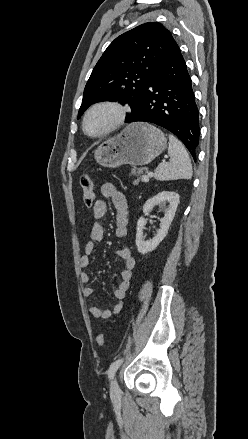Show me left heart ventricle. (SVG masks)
<instances>
[{"mask_svg": "<svg viewBox=\"0 0 248 439\" xmlns=\"http://www.w3.org/2000/svg\"><path fill=\"white\" fill-rule=\"evenodd\" d=\"M115 118V113L110 108H100L93 112L87 120V131L91 134L101 132L109 126Z\"/></svg>", "mask_w": 248, "mask_h": 439, "instance_id": "1", "label": "left heart ventricle"}]
</instances>
